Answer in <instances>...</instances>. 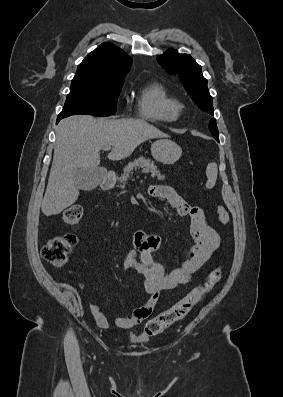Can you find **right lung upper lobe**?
<instances>
[{
	"label": "right lung upper lobe",
	"instance_id": "obj_1",
	"mask_svg": "<svg viewBox=\"0 0 283 397\" xmlns=\"http://www.w3.org/2000/svg\"><path fill=\"white\" fill-rule=\"evenodd\" d=\"M132 59L120 48L102 43L79 64L75 75L87 78L116 81L125 78Z\"/></svg>",
	"mask_w": 283,
	"mask_h": 397
}]
</instances>
